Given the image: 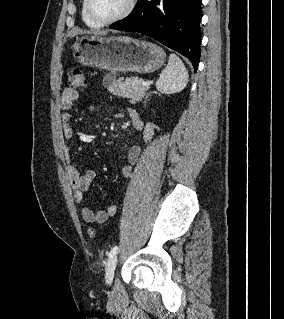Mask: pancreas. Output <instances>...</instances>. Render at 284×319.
Segmentation results:
<instances>
[{
    "label": "pancreas",
    "instance_id": "pancreas-1",
    "mask_svg": "<svg viewBox=\"0 0 284 319\" xmlns=\"http://www.w3.org/2000/svg\"><path fill=\"white\" fill-rule=\"evenodd\" d=\"M110 78V80H108ZM143 79L139 77H120L108 74L104 78V84L108 90L116 96L131 98L133 102L141 101L148 87L142 85Z\"/></svg>",
    "mask_w": 284,
    "mask_h": 319
}]
</instances>
